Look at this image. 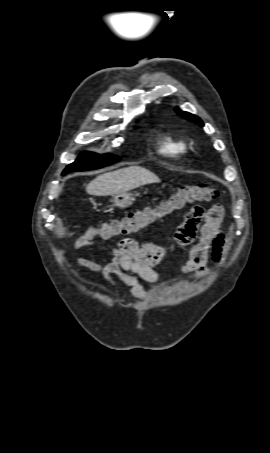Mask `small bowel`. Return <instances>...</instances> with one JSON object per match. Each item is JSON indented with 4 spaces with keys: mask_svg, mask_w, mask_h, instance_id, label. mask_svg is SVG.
<instances>
[{
    "mask_svg": "<svg viewBox=\"0 0 270 453\" xmlns=\"http://www.w3.org/2000/svg\"><path fill=\"white\" fill-rule=\"evenodd\" d=\"M223 219L224 208L220 204H214L207 210L201 206H194L186 213L183 222L174 233V246L183 251L196 239L197 243L191 246L189 259L181 267L183 273H196L199 278H204L209 275L206 264L210 256L214 262H221L226 242L221 228ZM73 247L108 250L111 254L109 261L99 263L79 258L78 265L88 278L92 272L100 273L105 283L112 288H117L113 276H118L130 286L131 294L139 299L146 296L141 281L156 283L159 280V273L155 267L166 261L171 253L167 247L153 243L139 244L131 238L119 239L112 245L87 233L79 236L73 242Z\"/></svg>",
    "mask_w": 270,
    "mask_h": 453,
    "instance_id": "1",
    "label": "small bowel"
}]
</instances>
